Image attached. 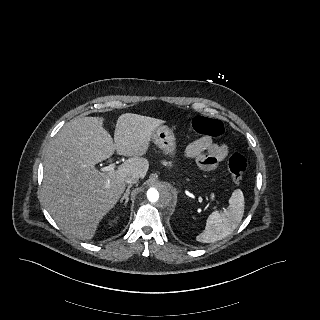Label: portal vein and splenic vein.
<instances>
[{
    "label": "portal vein and splenic vein",
    "instance_id": "portal-vein-and-splenic-vein-1",
    "mask_svg": "<svg viewBox=\"0 0 320 320\" xmlns=\"http://www.w3.org/2000/svg\"><path fill=\"white\" fill-rule=\"evenodd\" d=\"M114 169H115V163H111V164H109L108 166L103 167V168L101 169V171H103V172H110V171H113ZM214 209H217V208L215 207Z\"/></svg>",
    "mask_w": 320,
    "mask_h": 320
}]
</instances>
